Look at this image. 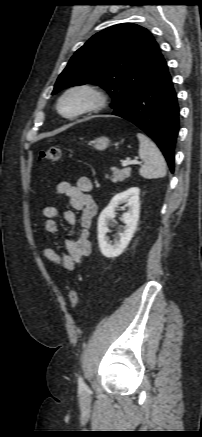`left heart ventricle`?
Wrapping results in <instances>:
<instances>
[{
    "mask_svg": "<svg viewBox=\"0 0 202 437\" xmlns=\"http://www.w3.org/2000/svg\"><path fill=\"white\" fill-rule=\"evenodd\" d=\"M87 101V97L81 93L70 95L64 100L62 110L66 114H72L81 109Z\"/></svg>",
    "mask_w": 202,
    "mask_h": 437,
    "instance_id": "left-heart-ventricle-1",
    "label": "left heart ventricle"
}]
</instances>
